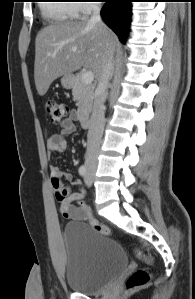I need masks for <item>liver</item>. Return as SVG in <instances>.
Listing matches in <instances>:
<instances>
[{"instance_id":"liver-1","label":"liver","mask_w":195,"mask_h":299,"mask_svg":"<svg viewBox=\"0 0 195 299\" xmlns=\"http://www.w3.org/2000/svg\"><path fill=\"white\" fill-rule=\"evenodd\" d=\"M115 45V34L103 23L89 25L86 20H78L43 28L35 41L34 79L38 94L45 95L55 79L72 75L81 67L92 69L100 78Z\"/></svg>"}]
</instances>
